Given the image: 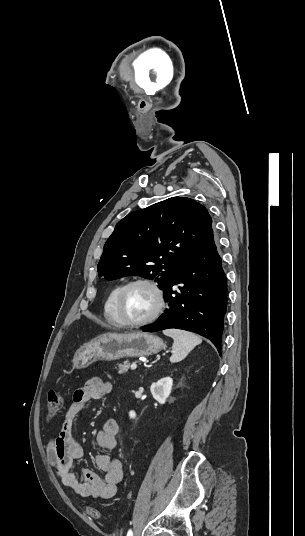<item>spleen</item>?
<instances>
[{"label": "spleen", "mask_w": 305, "mask_h": 536, "mask_svg": "<svg viewBox=\"0 0 305 536\" xmlns=\"http://www.w3.org/2000/svg\"><path fill=\"white\" fill-rule=\"evenodd\" d=\"M163 334L174 340L172 356L170 358L172 364L182 362L188 356L189 352L194 350L195 346H198L202 342L199 336H195L192 332H184V330H164Z\"/></svg>", "instance_id": "obj_1"}]
</instances>
